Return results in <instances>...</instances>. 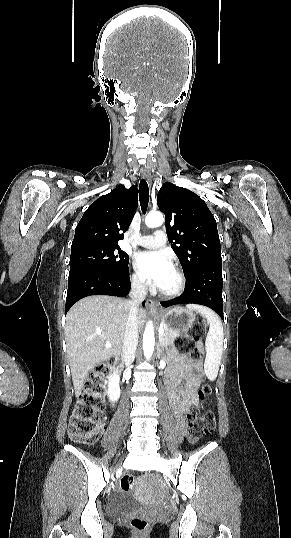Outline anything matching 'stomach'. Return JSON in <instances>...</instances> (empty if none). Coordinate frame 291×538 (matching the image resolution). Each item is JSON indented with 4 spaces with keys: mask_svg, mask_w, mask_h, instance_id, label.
<instances>
[{
    "mask_svg": "<svg viewBox=\"0 0 291 538\" xmlns=\"http://www.w3.org/2000/svg\"><path fill=\"white\" fill-rule=\"evenodd\" d=\"M160 320L165 328L175 332H183L193 325L195 315L191 310L175 307L163 312L160 315Z\"/></svg>",
    "mask_w": 291,
    "mask_h": 538,
    "instance_id": "obj_1",
    "label": "stomach"
}]
</instances>
